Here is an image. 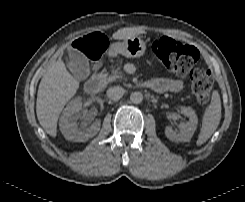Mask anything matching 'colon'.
Here are the masks:
<instances>
[{
  "label": "colon",
  "mask_w": 245,
  "mask_h": 202,
  "mask_svg": "<svg viewBox=\"0 0 245 202\" xmlns=\"http://www.w3.org/2000/svg\"><path fill=\"white\" fill-rule=\"evenodd\" d=\"M106 47L107 38L100 31L93 32L72 44V50L77 55L87 56L93 65L101 62ZM152 50L158 61L178 74L190 72L199 59V52L195 47L168 38L157 39L152 45ZM191 81L197 102L201 105L207 104L213 85L211 73L204 69L192 70Z\"/></svg>",
  "instance_id": "5ec220e1"
}]
</instances>
